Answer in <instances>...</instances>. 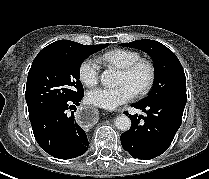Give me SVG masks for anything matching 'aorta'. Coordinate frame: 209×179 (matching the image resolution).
<instances>
[{
	"label": "aorta",
	"mask_w": 209,
	"mask_h": 179,
	"mask_svg": "<svg viewBox=\"0 0 209 179\" xmlns=\"http://www.w3.org/2000/svg\"><path fill=\"white\" fill-rule=\"evenodd\" d=\"M100 80H101L102 84H104L106 86H110V87L118 84L117 73H116V71L111 70V69L105 70L101 74ZM115 126L117 129H119L121 131H127L131 127V120L126 115L117 116L115 119Z\"/></svg>",
	"instance_id": "1"
}]
</instances>
